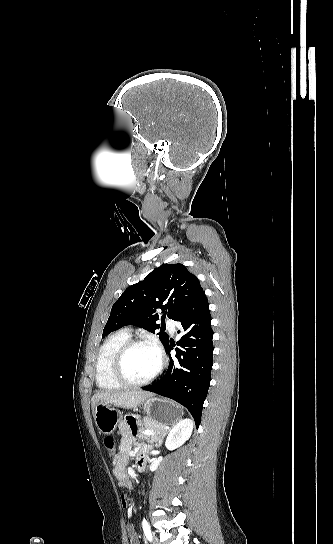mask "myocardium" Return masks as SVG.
<instances>
[{
	"label": "myocardium",
	"mask_w": 333,
	"mask_h": 544,
	"mask_svg": "<svg viewBox=\"0 0 333 544\" xmlns=\"http://www.w3.org/2000/svg\"><path fill=\"white\" fill-rule=\"evenodd\" d=\"M136 346H148L153 348L158 355V366L155 371L146 379L142 381H132L130 380L124 370V362L129 351ZM165 366V357L159 345L147 338H130L125 343H123L120 348L117 350L113 362H112V375L116 381L121 385L127 387H143L152 383L163 371Z\"/></svg>",
	"instance_id": "1"
}]
</instances>
